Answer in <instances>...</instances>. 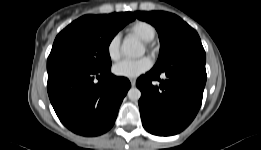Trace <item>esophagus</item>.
Wrapping results in <instances>:
<instances>
[{"instance_id":"1","label":"esophagus","mask_w":261,"mask_h":150,"mask_svg":"<svg viewBox=\"0 0 261 150\" xmlns=\"http://www.w3.org/2000/svg\"><path fill=\"white\" fill-rule=\"evenodd\" d=\"M130 83L134 87L136 85V79H130Z\"/></svg>"}]
</instances>
